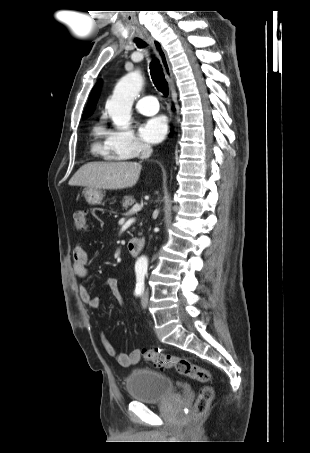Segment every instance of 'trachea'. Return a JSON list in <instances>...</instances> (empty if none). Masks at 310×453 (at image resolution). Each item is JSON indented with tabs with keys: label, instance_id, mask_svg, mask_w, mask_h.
Returning <instances> with one entry per match:
<instances>
[{
	"label": "trachea",
	"instance_id": "obj_1",
	"mask_svg": "<svg viewBox=\"0 0 310 453\" xmlns=\"http://www.w3.org/2000/svg\"><path fill=\"white\" fill-rule=\"evenodd\" d=\"M136 45L139 48H143V47L147 46V44L142 40L136 41ZM150 74H151L152 81H153L155 87L158 89V91H160L164 96H168V93H169L168 83L165 79L164 72H163L162 66L160 64V61L155 57H152V60L150 63Z\"/></svg>",
	"mask_w": 310,
	"mask_h": 453
}]
</instances>
